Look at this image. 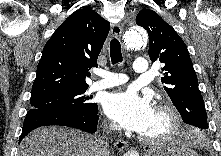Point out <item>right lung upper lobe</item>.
I'll list each match as a JSON object with an SVG mask.
<instances>
[{
    "label": "right lung upper lobe",
    "mask_w": 221,
    "mask_h": 156,
    "mask_svg": "<svg viewBox=\"0 0 221 156\" xmlns=\"http://www.w3.org/2000/svg\"><path fill=\"white\" fill-rule=\"evenodd\" d=\"M109 29V22L89 8L71 14L44 46L31 99L87 89V71L97 67Z\"/></svg>",
    "instance_id": "right-lung-upper-lobe-1"
}]
</instances>
